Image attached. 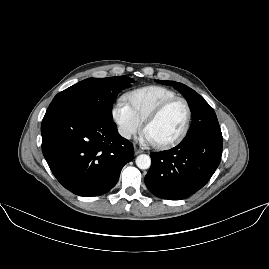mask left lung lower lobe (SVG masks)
<instances>
[{"mask_svg":"<svg viewBox=\"0 0 269 269\" xmlns=\"http://www.w3.org/2000/svg\"><path fill=\"white\" fill-rule=\"evenodd\" d=\"M222 135L208 134L176 147L151 153L145 184L155 196L180 200L201 189L214 174L222 155Z\"/></svg>","mask_w":269,"mask_h":269,"instance_id":"obj_1","label":"left lung lower lobe"}]
</instances>
